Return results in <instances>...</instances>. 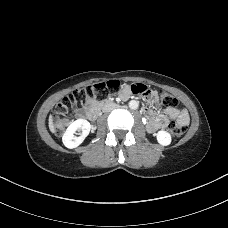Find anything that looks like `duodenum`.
Returning <instances> with one entry per match:
<instances>
[{"instance_id": "410a0bca", "label": "duodenum", "mask_w": 228, "mask_h": 228, "mask_svg": "<svg viewBox=\"0 0 228 228\" xmlns=\"http://www.w3.org/2000/svg\"><path fill=\"white\" fill-rule=\"evenodd\" d=\"M117 105L118 104L112 100H104V101H101V102L95 104L90 109H88L86 111L85 115L87 118H89L91 120H95L100 115L101 111L104 108L117 107ZM157 125H159V120L154 116H150L148 118L147 128L150 131H154L157 128Z\"/></svg>"}]
</instances>
